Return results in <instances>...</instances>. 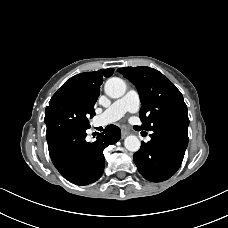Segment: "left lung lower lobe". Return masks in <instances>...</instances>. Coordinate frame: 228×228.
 Masks as SVG:
<instances>
[{"instance_id":"0a47b994","label":"left lung lower lobe","mask_w":228,"mask_h":228,"mask_svg":"<svg viewBox=\"0 0 228 228\" xmlns=\"http://www.w3.org/2000/svg\"><path fill=\"white\" fill-rule=\"evenodd\" d=\"M134 154V162L143 177L152 182L167 180L181 166L188 145V127H161L150 134Z\"/></svg>"}]
</instances>
